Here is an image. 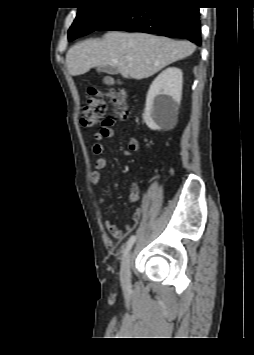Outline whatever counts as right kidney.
<instances>
[{"instance_id":"right-kidney-1","label":"right kidney","mask_w":254,"mask_h":355,"mask_svg":"<svg viewBox=\"0 0 254 355\" xmlns=\"http://www.w3.org/2000/svg\"><path fill=\"white\" fill-rule=\"evenodd\" d=\"M182 80V71L170 67L152 82L143 114V120L151 130L170 128L175 124L182 95Z\"/></svg>"}]
</instances>
